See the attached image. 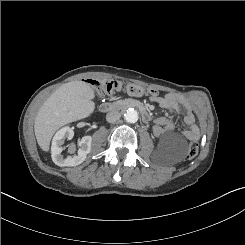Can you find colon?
Instances as JSON below:
<instances>
[{
  "instance_id": "colon-1",
  "label": "colon",
  "mask_w": 245,
  "mask_h": 245,
  "mask_svg": "<svg viewBox=\"0 0 245 245\" xmlns=\"http://www.w3.org/2000/svg\"><path fill=\"white\" fill-rule=\"evenodd\" d=\"M123 89L122 85L115 80H105L96 84V91L99 96H112ZM126 92L132 96L151 95L155 96L157 91L147 89L139 85H129L125 88ZM198 145L191 143L187 149V158L192 159L198 153Z\"/></svg>"
}]
</instances>
